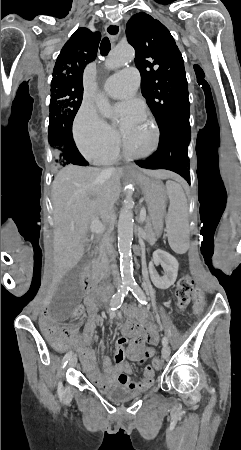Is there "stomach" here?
Returning <instances> with one entry per match:
<instances>
[{"instance_id": "stomach-1", "label": "stomach", "mask_w": 241, "mask_h": 450, "mask_svg": "<svg viewBox=\"0 0 241 450\" xmlns=\"http://www.w3.org/2000/svg\"><path fill=\"white\" fill-rule=\"evenodd\" d=\"M140 185L148 206L149 219L157 235L163 228V218L166 209V191L160 180L144 175H134Z\"/></svg>"}]
</instances>
